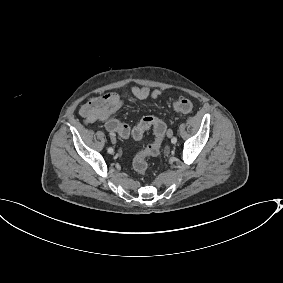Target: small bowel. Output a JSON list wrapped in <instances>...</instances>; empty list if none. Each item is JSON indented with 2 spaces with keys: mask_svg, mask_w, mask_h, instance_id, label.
Instances as JSON below:
<instances>
[{
  "mask_svg": "<svg viewBox=\"0 0 283 283\" xmlns=\"http://www.w3.org/2000/svg\"><path fill=\"white\" fill-rule=\"evenodd\" d=\"M159 95L160 91L158 90L131 86L129 89L120 93L108 92L103 95L91 97L80 107V115L87 124L104 122L117 113L130 96L144 100L149 97L156 99Z\"/></svg>",
  "mask_w": 283,
  "mask_h": 283,
  "instance_id": "1",
  "label": "small bowel"
}]
</instances>
